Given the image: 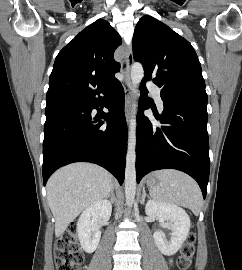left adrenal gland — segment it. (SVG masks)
<instances>
[{"label": "left adrenal gland", "instance_id": "left-adrenal-gland-1", "mask_svg": "<svg viewBox=\"0 0 242 270\" xmlns=\"http://www.w3.org/2000/svg\"><path fill=\"white\" fill-rule=\"evenodd\" d=\"M146 195H147V194H146V191L143 190L142 198H141V200H140V203H141V204H144Z\"/></svg>", "mask_w": 242, "mask_h": 270}]
</instances>
